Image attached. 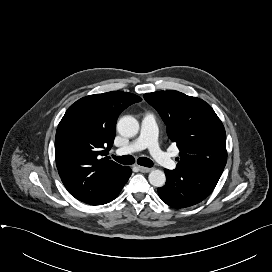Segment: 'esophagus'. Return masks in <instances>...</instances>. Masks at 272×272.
Masks as SVG:
<instances>
[{"label": "esophagus", "mask_w": 272, "mask_h": 272, "mask_svg": "<svg viewBox=\"0 0 272 272\" xmlns=\"http://www.w3.org/2000/svg\"><path fill=\"white\" fill-rule=\"evenodd\" d=\"M138 169H139V171H141V172H143V173H148V172H150L153 168L138 166Z\"/></svg>", "instance_id": "1"}]
</instances>
